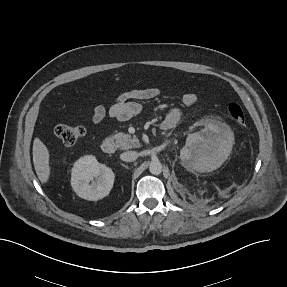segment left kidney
Segmentation results:
<instances>
[{
	"mask_svg": "<svg viewBox=\"0 0 287 287\" xmlns=\"http://www.w3.org/2000/svg\"><path fill=\"white\" fill-rule=\"evenodd\" d=\"M233 144L234 136L229 128L208 123L200 132L187 137L186 146L180 151V158L190 170L210 172L225 162Z\"/></svg>",
	"mask_w": 287,
	"mask_h": 287,
	"instance_id": "1",
	"label": "left kidney"
}]
</instances>
